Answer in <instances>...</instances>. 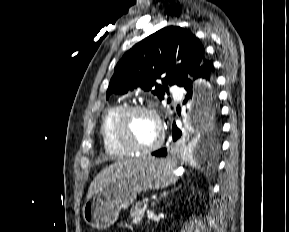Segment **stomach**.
Masks as SVG:
<instances>
[{
  "label": "stomach",
  "instance_id": "stomach-1",
  "mask_svg": "<svg viewBox=\"0 0 289 232\" xmlns=\"http://www.w3.org/2000/svg\"><path fill=\"white\" fill-rule=\"evenodd\" d=\"M177 180L174 161L147 158L87 199L82 209L84 220L96 229H106L116 222L121 209L134 202L138 193L165 188Z\"/></svg>",
  "mask_w": 289,
  "mask_h": 232
}]
</instances>
